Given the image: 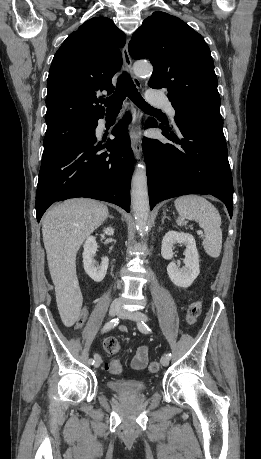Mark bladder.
Here are the masks:
<instances>
[{"instance_id": "obj_1", "label": "bladder", "mask_w": 261, "mask_h": 459, "mask_svg": "<svg viewBox=\"0 0 261 459\" xmlns=\"http://www.w3.org/2000/svg\"><path fill=\"white\" fill-rule=\"evenodd\" d=\"M107 386L119 395H138L147 390L146 384L136 379H110Z\"/></svg>"}]
</instances>
